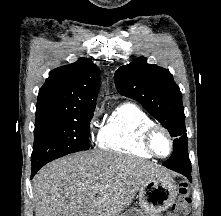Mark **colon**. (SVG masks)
<instances>
[{
    "label": "colon",
    "mask_w": 221,
    "mask_h": 216,
    "mask_svg": "<svg viewBox=\"0 0 221 216\" xmlns=\"http://www.w3.org/2000/svg\"><path fill=\"white\" fill-rule=\"evenodd\" d=\"M189 203H190V199L187 194V189L181 188L179 190L178 200L173 205L172 211L169 216H181V214L185 212Z\"/></svg>",
    "instance_id": "1"
}]
</instances>
